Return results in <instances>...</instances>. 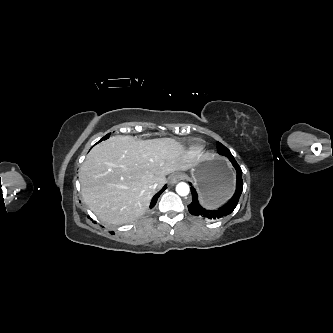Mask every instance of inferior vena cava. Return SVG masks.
I'll return each mask as SVG.
<instances>
[{"label":"inferior vena cava","mask_w":333,"mask_h":333,"mask_svg":"<svg viewBox=\"0 0 333 333\" xmlns=\"http://www.w3.org/2000/svg\"><path fill=\"white\" fill-rule=\"evenodd\" d=\"M158 187V184L157 183H154L153 185H152V188L153 189H156Z\"/></svg>","instance_id":"1"}]
</instances>
